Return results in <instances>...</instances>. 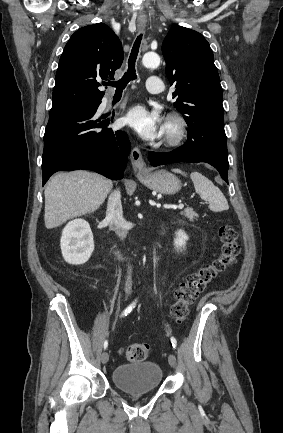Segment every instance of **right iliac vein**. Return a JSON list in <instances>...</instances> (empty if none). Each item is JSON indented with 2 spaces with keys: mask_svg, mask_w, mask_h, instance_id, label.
I'll return each mask as SVG.
<instances>
[{
  "mask_svg": "<svg viewBox=\"0 0 283 433\" xmlns=\"http://www.w3.org/2000/svg\"><path fill=\"white\" fill-rule=\"evenodd\" d=\"M108 360H109V356H108V354H107L106 352H104V353L101 355V362H102L103 364H106V363L108 362Z\"/></svg>",
  "mask_w": 283,
  "mask_h": 433,
  "instance_id": "right-iliac-vein-1",
  "label": "right iliac vein"
}]
</instances>
